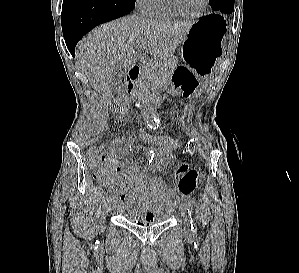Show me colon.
I'll return each instance as SVG.
<instances>
[{
	"mask_svg": "<svg viewBox=\"0 0 299 273\" xmlns=\"http://www.w3.org/2000/svg\"><path fill=\"white\" fill-rule=\"evenodd\" d=\"M181 138L178 135L155 137L145 133L135 135L132 140L133 146L138 150L148 149H166L176 147L180 144ZM127 144V140L124 135H121L101 148L92 149L89 152V164L93 173V176L99 180L105 178L107 169L104 160V154L107 150H121ZM198 182V172L196 170H188L185 172L178 182V191L184 196L193 194L196 190Z\"/></svg>",
	"mask_w": 299,
	"mask_h": 273,
	"instance_id": "1",
	"label": "colon"
}]
</instances>
